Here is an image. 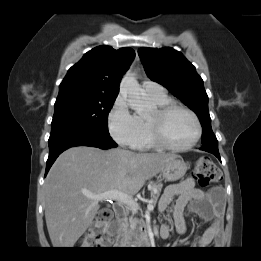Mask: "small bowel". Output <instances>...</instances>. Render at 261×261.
Here are the masks:
<instances>
[{"label":"small bowel","mask_w":261,"mask_h":261,"mask_svg":"<svg viewBox=\"0 0 261 261\" xmlns=\"http://www.w3.org/2000/svg\"><path fill=\"white\" fill-rule=\"evenodd\" d=\"M191 202V211L210 223L208 229L200 237L196 246L207 247L217 242L223 223L225 193L220 187L208 191L195 187L192 178H186L166 188L159 202V210L164 211L171 206L172 222L179 234H184L186 225L183 218L185 206ZM162 235H168L169 226L164 225Z\"/></svg>","instance_id":"obj_1"}]
</instances>
